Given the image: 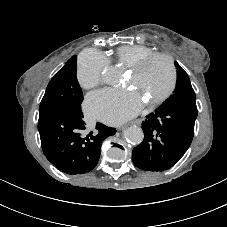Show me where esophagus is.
<instances>
[{
    "mask_svg": "<svg viewBox=\"0 0 227 227\" xmlns=\"http://www.w3.org/2000/svg\"><path fill=\"white\" fill-rule=\"evenodd\" d=\"M135 124L140 125L141 124V119L125 121V122L122 123V127H120L118 130L121 131L124 128L128 129L131 126H134Z\"/></svg>",
    "mask_w": 227,
    "mask_h": 227,
    "instance_id": "esophagus-1",
    "label": "esophagus"
}]
</instances>
